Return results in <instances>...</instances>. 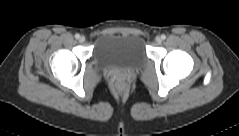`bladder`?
I'll list each match as a JSON object with an SVG mask.
<instances>
[{
    "label": "bladder",
    "instance_id": "bladder-1",
    "mask_svg": "<svg viewBox=\"0 0 239 136\" xmlns=\"http://www.w3.org/2000/svg\"><path fill=\"white\" fill-rule=\"evenodd\" d=\"M93 55L102 68L135 69L147 58L145 40L134 34H102L94 40Z\"/></svg>",
    "mask_w": 239,
    "mask_h": 136
}]
</instances>
